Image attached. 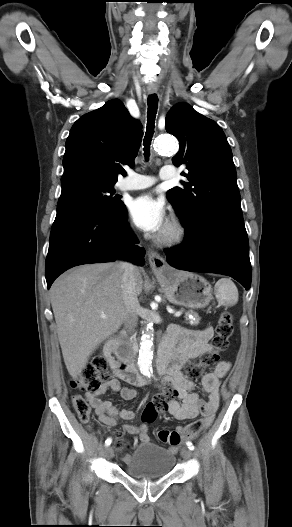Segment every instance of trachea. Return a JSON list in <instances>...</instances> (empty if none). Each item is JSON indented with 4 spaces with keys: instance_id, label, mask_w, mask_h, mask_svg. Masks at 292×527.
I'll list each match as a JSON object with an SVG mask.
<instances>
[{
    "instance_id": "obj_1",
    "label": "trachea",
    "mask_w": 292,
    "mask_h": 527,
    "mask_svg": "<svg viewBox=\"0 0 292 527\" xmlns=\"http://www.w3.org/2000/svg\"><path fill=\"white\" fill-rule=\"evenodd\" d=\"M148 104V111H147V126H146V134L144 137V152H145V158L148 160L149 157V151H150V144L151 140L154 134V128H155V118L157 114V108H158V97L155 94H152L148 97L147 100Z\"/></svg>"
}]
</instances>
